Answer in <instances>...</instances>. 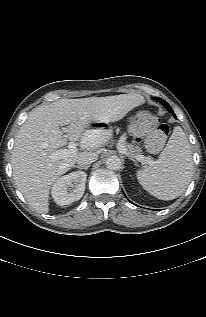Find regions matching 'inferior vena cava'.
Masks as SVG:
<instances>
[{
	"label": "inferior vena cava",
	"instance_id": "inferior-vena-cava-1",
	"mask_svg": "<svg viewBox=\"0 0 206 317\" xmlns=\"http://www.w3.org/2000/svg\"><path fill=\"white\" fill-rule=\"evenodd\" d=\"M98 159V155L94 152H85L81 154V156L77 159V164L80 167H84L90 165L91 163L95 162Z\"/></svg>",
	"mask_w": 206,
	"mask_h": 317
}]
</instances>
